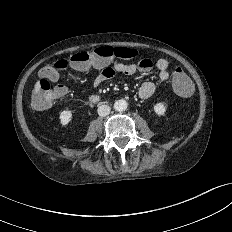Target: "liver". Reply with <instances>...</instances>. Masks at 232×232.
I'll return each mask as SVG.
<instances>
[{"label":"liver","instance_id":"1","mask_svg":"<svg viewBox=\"0 0 232 232\" xmlns=\"http://www.w3.org/2000/svg\"><path fill=\"white\" fill-rule=\"evenodd\" d=\"M39 90H40V86H39V83L37 82V83L35 84V87H34V92H35V93H38Z\"/></svg>","mask_w":232,"mask_h":232}]
</instances>
